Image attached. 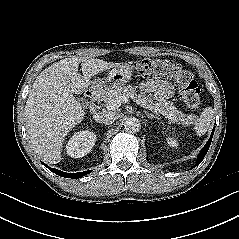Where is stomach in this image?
Returning <instances> with one entry per match:
<instances>
[{
    "instance_id": "0dacf381",
    "label": "stomach",
    "mask_w": 239,
    "mask_h": 239,
    "mask_svg": "<svg viewBox=\"0 0 239 239\" xmlns=\"http://www.w3.org/2000/svg\"><path fill=\"white\" fill-rule=\"evenodd\" d=\"M132 69L129 65H119L111 69L106 77L97 78L92 82V88L104 93L119 88L131 80Z\"/></svg>"
}]
</instances>
